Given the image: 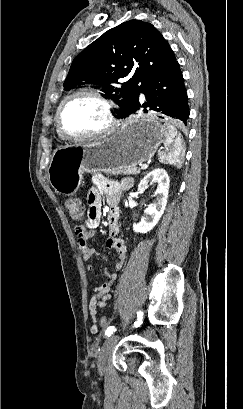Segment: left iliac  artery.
Here are the masks:
<instances>
[{
	"label": "left iliac artery",
	"instance_id": "1",
	"mask_svg": "<svg viewBox=\"0 0 243 409\" xmlns=\"http://www.w3.org/2000/svg\"><path fill=\"white\" fill-rule=\"evenodd\" d=\"M137 321L134 323L135 327H139L140 324L142 323V318H143V313L141 311L137 312ZM116 331V328L114 326H110L109 328H107V330L105 331V335L107 337H110L114 332Z\"/></svg>",
	"mask_w": 243,
	"mask_h": 409
}]
</instances>
